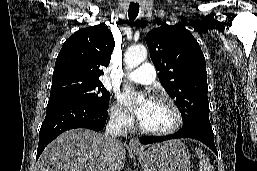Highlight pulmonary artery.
I'll list each match as a JSON object with an SVG mask.
<instances>
[{
    "label": "pulmonary artery",
    "mask_w": 257,
    "mask_h": 171,
    "mask_svg": "<svg viewBox=\"0 0 257 171\" xmlns=\"http://www.w3.org/2000/svg\"><path fill=\"white\" fill-rule=\"evenodd\" d=\"M126 78L139 84H150L156 78V69L150 63H143L137 69L127 74Z\"/></svg>",
    "instance_id": "obj_1"
}]
</instances>
